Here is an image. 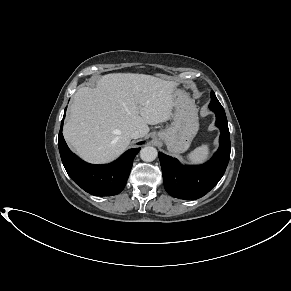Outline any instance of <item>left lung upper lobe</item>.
<instances>
[{
    "instance_id": "obj_1",
    "label": "left lung upper lobe",
    "mask_w": 291,
    "mask_h": 291,
    "mask_svg": "<svg viewBox=\"0 0 291 291\" xmlns=\"http://www.w3.org/2000/svg\"><path fill=\"white\" fill-rule=\"evenodd\" d=\"M211 103H220L215 96V93L211 91Z\"/></svg>"
}]
</instances>
